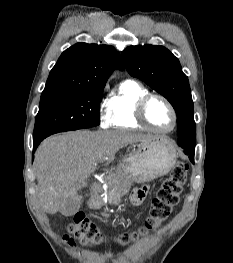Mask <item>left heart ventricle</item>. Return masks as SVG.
Masks as SVG:
<instances>
[{
    "mask_svg": "<svg viewBox=\"0 0 233 263\" xmlns=\"http://www.w3.org/2000/svg\"><path fill=\"white\" fill-rule=\"evenodd\" d=\"M146 115L155 128L167 130L172 125V114L166 104L159 99H153L149 103Z\"/></svg>",
    "mask_w": 233,
    "mask_h": 263,
    "instance_id": "left-heart-ventricle-1",
    "label": "left heart ventricle"
}]
</instances>
